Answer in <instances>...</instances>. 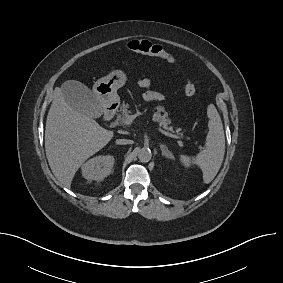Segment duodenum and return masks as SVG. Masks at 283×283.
<instances>
[{"instance_id":"1","label":"duodenum","mask_w":283,"mask_h":283,"mask_svg":"<svg viewBox=\"0 0 283 283\" xmlns=\"http://www.w3.org/2000/svg\"><path fill=\"white\" fill-rule=\"evenodd\" d=\"M115 110L112 107L106 108L104 112V120L105 121H111L114 117Z\"/></svg>"}]
</instances>
